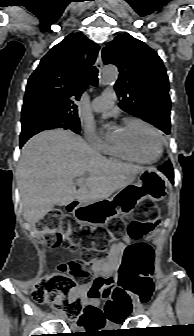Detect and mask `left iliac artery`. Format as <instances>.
Segmentation results:
<instances>
[{
	"mask_svg": "<svg viewBox=\"0 0 194 336\" xmlns=\"http://www.w3.org/2000/svg\"><path fill=\"white\" fill-rule=\"evenodd\" d=\"M140 309L143 310V305H140Z\"/></svg>",
	"mask_w": 194,
	"mask_h": 336,
	"instance_id": "1",
	"label": "left iliac artery"
}]
</instances>
